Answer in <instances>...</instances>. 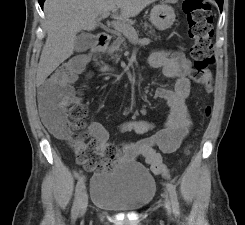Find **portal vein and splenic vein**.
I'll use <instances>...</instances> for the list:
<instances>
[{
	"mask_svg": "<svg viewBox=\"0 0 245 225\" xmlns=\"http://www.w3.org/2000/svg\"><path fill=\"white\" fill-rule=\"evenodd\" d=\"M109 15H110V12H104L100 15V18L104 19V18L108 17ZM111 26L115 30L123 33L132 43L143 44V43H149L150 42V40L147 38L139 39L136 30L134 29V27H132L129 24L122 23L119 21H113V22H111Z\"/></svg>",
	"mask_w": 245,
	"mask_h": 225,
	"instance_id": "18ae733b",
	"label": "portal vein and splenic vein"
}]
</instances>
